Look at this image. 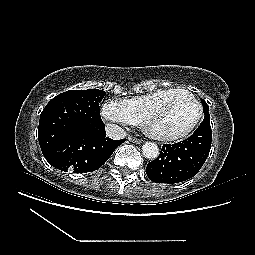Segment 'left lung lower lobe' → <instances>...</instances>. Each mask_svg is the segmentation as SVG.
<instances>
[{
    "label": "left lung lower lobe",
    "instance_id": "left-lung-lower-lobe-1",
    "mask_svg": "<svg viewBox=\"0 0 255 255\" xmlns=\"http://www.w3.org/2000/svg\"><path fill=\"white\" fill-rule=\"evenodd\" d=\"M210 115L205 117L189 138L163 145L158 158L147 165L148 178L156 183H179L195 176L205 163L211 148Z\"/></svg>",
    "mask_w": 255,
    "mask_h": 255
}]
</instances>
